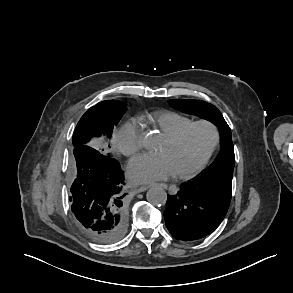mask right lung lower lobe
<instances>
[{
    "mask_svg": "<svg viewBox=\"0 0 293 293\" xmlns=\"http://www.w3.org/2000/svg\"><path fill=\"white\" fill-rule=\"evenodd\" d=\"M74 181L70 188L72 212L92 240L113 243L127 231L123 172L117 160L89 145H76Z\"/></svg>",
    "mask_w": 293,
    "mask_h": 293,
    "instance_id": "right-lung-lower-lobe-1",
    "label": "right lung lower lobe"
}]
</instances>
